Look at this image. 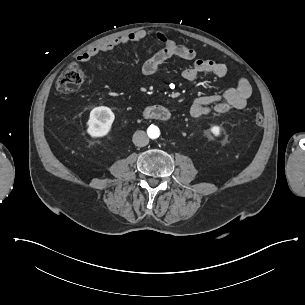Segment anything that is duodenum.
<instances>
[{
	"mask_svg": "<svg viewBox=\"0 0 305 305\" xmlns=\"http://www.w3.org/2000/svg\"><path fill=\"white\" fill-rule=\"evenodd\" d=\"M141 114L150 121H167L169 117V113L165 108L156 105L143 108Z\"/></svg>",
	"mask_w": 305,
	"mask_h": 305,
	"instance_id": "duodenum-1",
	"label": "duodenum"
}]
</instances>
